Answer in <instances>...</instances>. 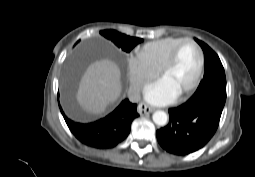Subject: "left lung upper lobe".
Returning a JSON list of instances; mask_svg holds the SVG:
<instances>
[{
    "label": "left lung upper lobe",
    "mask_w": 255,
    "mask_h": 177,
    "mask_svg": "<svg viewBox=\"0 0 255 177\" xmlns=\"http://www.w3.org/2000/svg\"><path fill=\"white\" fill-rule=\"evenodd\" d=\"M195 40L204 52L205 74L191 98L198 99L205 95L215 94L226 99L225 71L218 55L204 42L196 38Z\"/></svg>",
    "instance_id": "5c2ea615"
}]
</instances>
